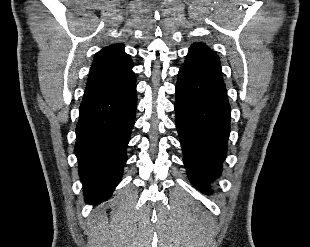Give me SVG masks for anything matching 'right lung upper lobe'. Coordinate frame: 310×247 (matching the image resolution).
<instances>
[{
	"instance_id": "cb5924a9",
	"label": "right lung upper lobe",
	"mask_w": 310,
	"mask_h": 247,
	"mask_svg": "<svg viewBox=\"0 0 310 247\" xmlns=\"http://www.w3.org/2000/svg\"><path fill=\"white\" fill-rule=\"evenodd\" d=\"M132 67L122 44L105 47L95 55L85 90L130 84L136 81Z\"/></svg>"
}]
</instances>
